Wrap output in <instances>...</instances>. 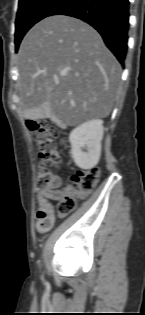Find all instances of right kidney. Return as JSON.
Segmentation results:
<instances>
[{
    "label": "right kidney",
    "mask_w": 145,
    "mask_h": 315,
    "mask_svg": "<svg viewBox=\"0 0 145 315\" xmlns=\"http://www.w3.org/2000/svg\"><path fill=\"white\" fill-rule=\"evenodd\" d=\"M103 131V121L100 119L89 120L72 130L69 135L71 154L78 167L87 170L97 165Z\"/></svg>",
    "instance_id": "right-kidney-1"
}]
</instances>
